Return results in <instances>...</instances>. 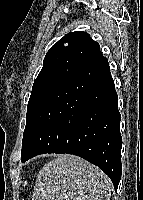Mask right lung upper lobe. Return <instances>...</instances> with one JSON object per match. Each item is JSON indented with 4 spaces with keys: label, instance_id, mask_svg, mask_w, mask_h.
<instances>
[{
    "label": "right lung upper lobe",
    "instance_id": "right-lung-upper-lobe-1",
    "mask_svg": "<svg viewBox=\"0 0 143 200\" xmlns=\"http://www.w3.org/2000/svg\"><path fill=\"white\" fill-rule=\"evenodd\" d=\"M102 58L99 44L88 33L70 32L47 52L36 80L50 76L67 77Z\"/></svg>",
    "mask_w": 143,
    "mask_h": 200
}]
</instances>
